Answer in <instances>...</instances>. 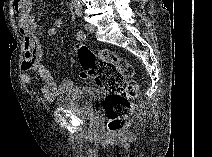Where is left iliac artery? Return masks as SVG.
I'll list each match as a JSON object with an SVG mask.
<instances>
[{
  "instance_id": "left-iliac-artery-1",
  "label": "left iliac artery",
  "mask_w": 212,
  "mask_h": 157,
  "mask_svg": "<svg viewBox=\"0 0 212 157\" xmlns=\"http://www.w3.org/2000/svg\"><path fill=\"white\" fill-rule=\"evenodd\" d=\"M77 39H78V40H83V39H85V34H84V32H83L82 30H79V31L77 32Z\"/></svg>"
}]
</instances>
